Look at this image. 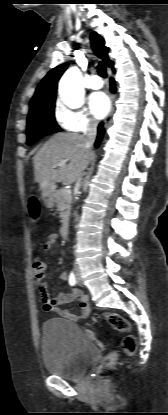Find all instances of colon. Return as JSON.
Here are the masks:
<instances>
[{
	"instance_id": "5ec220e1",
	"label": "colon",
	"mask_w": 168,
	"mask_h": 415,
	"mask_svg": "<svg viewBox=\"0 0 168 415\" xmlns=\"http://www.w3.org/2000/svg\"><path fill=\"white\" fill-rule=\"evenodd\" d=\"M30 212L32 217L36 218L38 215L37 203L32 201L30 204ZM46 266V261L42 259L41 256H36L34 258V265L31 267V272L33 273L32 281L34 283H39L41 279L46 277V272L44 267ZM105 319L112 325V327L120 332H128L130 330L129 321L118 313L108 312L104 314ZM86 335L91 340H96L95 334L91 330H86ZM100 346H103L99 343ZM122 349L126 354H133L137 349V340L133 335H127L122 341ZM116 360L115 353H108L103 356L100 366L98 369L103 367H109L114 364Z\"/></svg>"
}]
</instances>
